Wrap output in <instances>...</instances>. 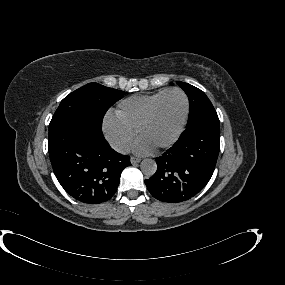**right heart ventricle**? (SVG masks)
Segmentation results:
<instances>
[{"mask_svg":"<svg viewBox=\"0 0 285 285\" xmlns=\"http://www.w3.org/2000/svg\"><path fill=\"white\" fill-rule=\"evenodd\" d=\"M165 90L152 94L133 95L122 100L118 105L116 117L128 129L137 132L141 122L147 116L152 105Z\"/></svg>","mask_w":285,"mask_h":285,"instance_id":"1","label":"right heart ventricle"}]
</instances>
